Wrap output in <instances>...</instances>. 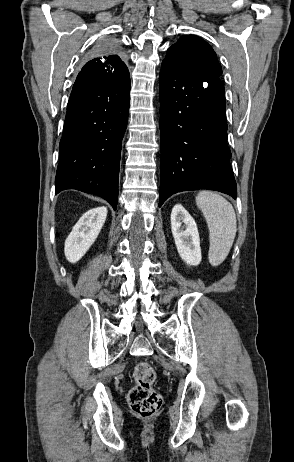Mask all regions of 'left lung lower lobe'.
I'll list each match as a JSON object with an SVG mask.
<instances>
[{
    "instance_id": "1",
    "label": "left lung lower lobe",
    "mask_w": 294,
    "mask_h": 462,
    "mask_svg": "<svg viewBox=\"0 0 294 462\" xmlns=\"http://www.w3.org/2000/svg\"><path fill=\"white\" fill-rule=\"evenodd\" d=\"M159 84V207L172 194L194 189H212L236 199L220 79L162 62Z\"/></svg>"
}]
</instances>
